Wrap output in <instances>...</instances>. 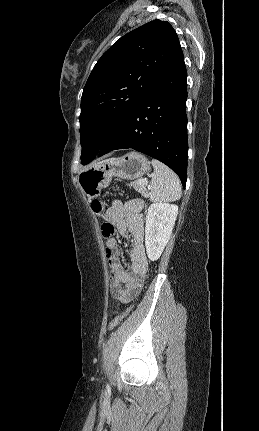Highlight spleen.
Returning <instances> with one entry per match:
<instances>
[{"label":"spleen","mask_w":259,"mask_h":431,"mask_svg":"<svg viewBox=\"0 0 259 431\" xmlns=\"http://www.w3.org/2000/svg\"><path fill=\"white\" fill-rule=\"evenodd\" d=\"M154 174L151 179L150 199L153 202H173L182 195L179 177L169 167L160 161H151Z\"/></svg>","instance_id":"1"}]
</instances>
